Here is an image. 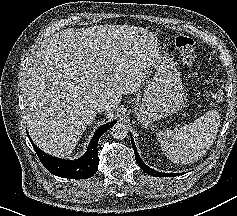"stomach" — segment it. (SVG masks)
<instances>
[{
  "instance_id": "1",
  "label": "stomach",
  "mask_w": 237,
  "mask_h": 216,
  "mask_svg": "<svg viewBox=\"0 0 237 216\" xmlns=\"http://www.w3.org/2000/svg\"><path fill=\"white\" fill-rule=\"evenodd\" d=\"M182 100V87L175 70L167 68L165 75H158L149 82L142 102L136 107L137 120L144 126L174 113Z\"/></svg>"
}]
</instances>
